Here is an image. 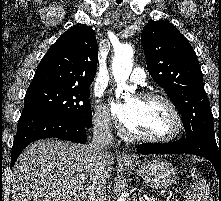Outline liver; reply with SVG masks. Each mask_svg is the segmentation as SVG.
<instances>
[{"instance_id":"1","label":"liver","mask_w":221,"mask_h":201,"mask_svg":"<svg viewBox=\"0 0 221 201\" xmlns=\"http://www.w3.org/2000/svg\"><path fill=\"white\" fill-rule=\"evenodd\" d=\"M114 158L110 154L106 179ZM89 145L55 139L31 143L13 167L12 201H82L92 178Z\"/></svg>"}]
</instances>
